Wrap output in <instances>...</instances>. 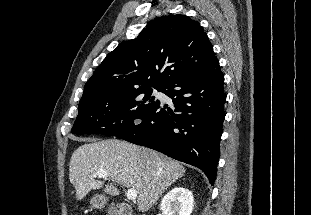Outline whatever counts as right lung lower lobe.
I'll return each instance as SVG.
<instances>
[{
    "mask_svg": "<svg viewBox=\"0 0 311 215\" xmlns=\"http://www.w3.org/2000/svg\"><path fill=\"white\" fill-rule=\"evenodd\" d=\"M219 61L170 81L162 92L175 109L159 104L132 129L116 135L200 168L214 184L226 94Z\"/></svg>",
    "mask_w": 311,
    "mask_h": 215,
    "instance_id": "obj_1",
    "label": "right lung lower lobe"
}]
</instances>
